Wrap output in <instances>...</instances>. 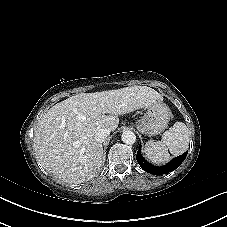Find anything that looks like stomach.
<instances>
[{"mask_svg":"<svg viewBox=\"0 0 227 227\" xmlns=\"http://www.w3.org/2000/svg\"><path fill=\"white\" fill-rule=\"evenodd\" d=\"M170 118L169 107L162 102H156L147 108L146 114L136 121L135 126L140 133L155 136L167 128Z\"/></svg>","mask_w":227,"mask_h":227,"instance_id":"1","label":"stomach"}]
</instances>
